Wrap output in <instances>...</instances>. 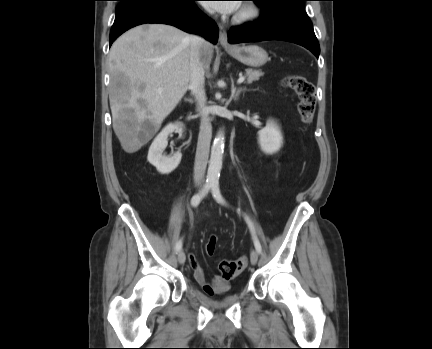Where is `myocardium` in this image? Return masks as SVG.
I'll return each instance as SVG.
<instances>
[{
	"label": "myocardium",
	"instance_id": "1",
	"mask_svg": "<svg viewBox=\"0 0 432 349\" xmlns=\"http://www.w3.org/2000/svg\"><path fill=\"white\" fill-rule=\"evenodd\" d=\"M259 15V9L254 3H246L242 6V8L239 10V12L234 16V22L235 23H247L255 18H257Z\"/></svg>",
	"mask_w": 432,
	"mask_h": 349
}]
</instances>
